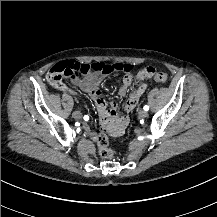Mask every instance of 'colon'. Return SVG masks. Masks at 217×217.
<instances>
[{"label":"colon","mask_w":217,"mask_h":217,"mask_svg":"<svg viewBox=\"0 0 217 217\" xmlns=\"http://www.w3.org/2000/svg\"><path fill=\"white\" fill-rule=\"evenodd\" d=\"M132 69L128 63H99L98 61H92L90 64H79L74 59H67L59 61L55 66L49 69V77L55 83H60L63 79L71 78L72 75H89L98 72H129ZM148 72H153L149 69ZM154 80L159 82H165L167 75L163 72L153 76ZM97 146L104 158L111 159L114 156V152L108 148V141L106 134L97 133Z\"/></svg>","instance_id":"5ec220e1"}]
</instances>
